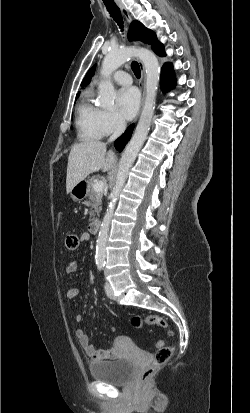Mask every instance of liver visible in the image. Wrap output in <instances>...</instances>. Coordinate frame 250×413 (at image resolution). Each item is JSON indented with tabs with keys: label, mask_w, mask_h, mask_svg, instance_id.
<instances>
[{
	"label": "liver",
	"mask_w": 250,
	"mask_h": 413,
	"mask_svg": "<svg viewBox=\"0 0 250 413\" xmlns=\"http://www.w3.org/2000/svg\"><path fill=\"white\" fill-rule=\"evenodd\" d=\"M116 161L112 150L107 152L106 144L98 140L84 141L75 144L68 157L66 191L71 190L90 173L109 171Z\"/></svg>",
	"instance_id": "liver-1"
}]
</instances>
